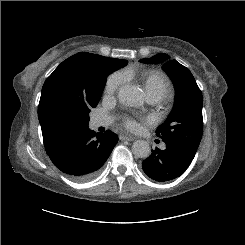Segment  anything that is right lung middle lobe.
Segmentation results:
<instances>
[{
    "label": "right lung middle lobe",
    "instance_id": "1",
    "mask_svg": "<svg viewBox=\"0 0 245 245\" xmlns=\"http://www.w3.org/2000/svg\"><path fill=\"white\" fill-rule=\"evenodd\" d=\"M121 67L112 59L97 55L89 63L90 72L97 86L94 101L90 104L80 102L71 97L63 88H54L49 92L46 104L50 119L61 127H69L78 131L87 128L90 109L97 106L107 75Z\"/></svg>",
    "mask_w": 245,
    "mask_h": 245
}]
</instances>
